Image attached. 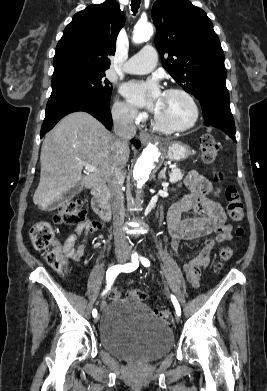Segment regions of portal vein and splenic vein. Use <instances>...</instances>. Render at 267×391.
I'll use <instances>...</instances> for the list:
<instances>
[{
    "mask_svg": "<svg viewBox=\"0 0 267 391\" xmlns=\"http://www.w3.org/2000/svg\"><path fill=\"white\" fill-rule=\"evenodd\" d=\"M82 164L85 166L86 170H88V171H96L97 170L96 167H94L86 162H82ZM170 168H174V166H170Z\"/></svg>",
    "mask_w": 267,
    "mask_h": 391,
    "instance_id": "18ae733b",
    "label": "portal vein and splenic vein"
}]
</instances>
